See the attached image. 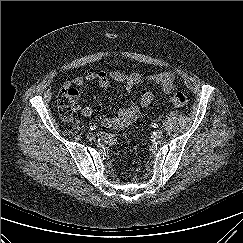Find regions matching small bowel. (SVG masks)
Wrapping results in <instances>:
<instances>
[{"instance_id":"1","label":"small bowel","mask_w":243,"mask_h":243,"mask_svg":"<svg viewBox=\"0 0 243 243\" xmlns=\"http://www.w3.org/2000/svg\"><path fill=\"white\" fill-rule=\"evenodd\" d=\"M147 79L155 85L160 86L163 95H169L174 90V75L171 72H160L147 76ZM116 81L124 85L127 93H130L136 86H139L144 76L140 72L126 74L120 71H98L88 72L84 76H77L70 81H66L64 87L73 91L78 98V91L74 87H81L86 82L96 81L100 87L106 88L110 81ZM153 94L145 92L138 101L131 100L129 104L121 108L115 115H109L102 121V125L107 128L120 129L134 121L141 113L142 109L148 107L153 101ZM82 115L89 117L92 115V109L88 106L79 108ZM107 143H114L115 139L111 135H103Z\"/></svg>"}]
</instances>
